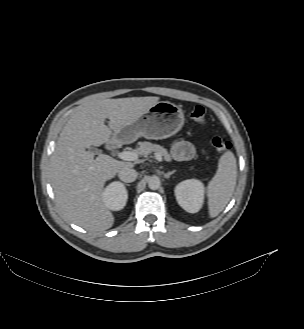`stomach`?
<instances>
[{
    "label": "stomach",
    "instance_id": "1",
    "mask_svg": "<svg viewBox=\"0 0 304 329\" xmlns=\"http://www.w3.org/2000/svg\"><path fill=\"white\" fill-rule=\"evenodd\" d=\"M183 124L181 107L168 101H160L118 132H113L111 142L132 143L139 137L165 139L176 134Z\"/></svg>",
    "mask_w": 304,
    "mask_h": 329
}]
</instances>
